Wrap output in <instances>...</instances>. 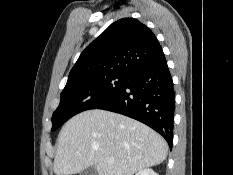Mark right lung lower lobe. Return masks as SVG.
Here are the masks:
<instances>
[{"label": "right lung lower lobe", "instance_id": "1", "mask_svg": "<svg viewBox=\"0 0 233 175\" xmlns=\"http://www.w3.org/2000/svg\"><path fill=\"white\" fill-rule=\"evenodd\" d=\"M174 98L172 77L162 55L131 73L121 91L97 109L120 113L148 125L172 148Z\"/></svg>", "mask_w": 233, "mask_h": 175}]
</instances>
